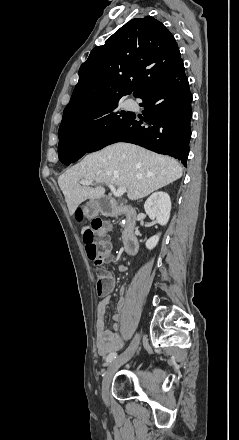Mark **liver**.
<instances>
[{"mask_svg": "<svg viewBox=\"0 0 239 440\" xmlns=\"http://www.w3.org/2000/svg\"><path fill=\"white\" fill-rule=\"evenodd\" d=\"M181 176L182 166L174 158L120 142L85 156L82 162L59 176L58 184L65 196L69 214L73 216L79 204L102 198L106 192L101 186H80L79 180L126 188L129 200H140L179 180Z\"/></svg>", "mask_w": 239, "mask_h": 440, "instance_id": "liver-1", "label": "liver"}]
</instances>
